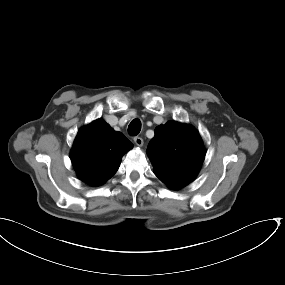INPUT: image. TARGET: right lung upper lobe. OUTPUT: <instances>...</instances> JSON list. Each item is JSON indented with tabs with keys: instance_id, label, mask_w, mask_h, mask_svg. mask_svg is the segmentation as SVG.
<instances>
[{
	"instance_id": "right-lung-upper-lobe-1",
	"label": "right lung upper lobe",
	"mask_w": 285,
	"mask_h": 285,
	"mask_svg": "<svg viewBox=\"0 0 285 285\" xmlns=\"http://www.w3.org/2000/svg\"><path fill=\"white\" fill-rule=\"evenodd\" d=\"M133 144L103 119L83 127L71 151V161L80 180L100 186L118 170L123 155Z\"/></svg>"
}]
</instances>
